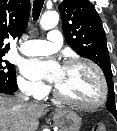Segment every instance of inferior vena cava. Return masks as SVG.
<instances>
[{
  "instance_id": "inferior-vena-cava-1",
  "label": "inferior vena cava",
  "mask_w": 117,
  "mask_h": 131,
  "mask_svg": "<svg viewBox=\"0 0 117 131\" xmlns=\"http://www.w3.org/2000/svg\"><path fill=\"white\" fill-rule=\"evenodd\" d=\"M21 99H22L23 101H28V100H29V96H28V95H22V96H21Z\"/></svg>"
}]
</instances>
